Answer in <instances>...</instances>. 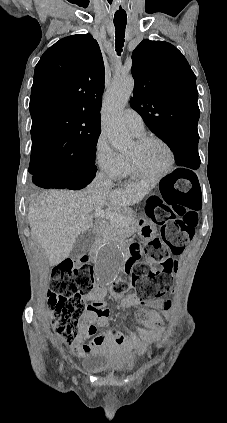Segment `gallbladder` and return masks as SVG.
<instances>
[{
	"instance_id": "1",
	"label": "gallbladder",
	"mask_w": 227,
	"mask_h": 423,
	"mask_svg": "<svg viewBox=\"0 0 227 423\" xmlns=\"http://www.w3.org/2000/svg\"><path fill=\"white\" fill-rule=\"evenodd\" d=\"M95 241V231L88 229L83 231L78 237L72 247L71 257H82L84 253H88L92 243Z\"/></svg>"
}]
</instances>
